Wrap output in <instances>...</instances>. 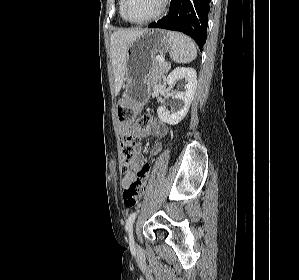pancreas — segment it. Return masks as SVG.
Returning <instances> with one entry per match:
<instances>
[{"label": "pancreas", "mask_w": 299, "mask_h": 280, "mask_svg": "<svg viewBox=\"0 0 299 280\" xmlns=\"http://www.w3.org/2000/svg\"><path fill=\"white\" fill-rule=\"evenodd\" d=\"M168 68V64H162L157 59L154 60L148 76V80L151 84L160 83L161 77L167 72Z\"/></svg>", "instance_id": "cf45deb5"}]
</instances>
